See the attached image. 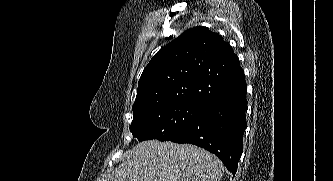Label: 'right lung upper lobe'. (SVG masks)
<instances>
[{"mask_svg": "<svg viewBox=\"0 0 333 181\" xmlns=\"http://www.w3.org/2000/svg\"><path fill=\"white\" fill-rule=\"evenodd\" d=\"M245 88L244 71L231 46L197 26L153 56L140 77L132 109L169 102L205 105Z\"/></svg>", "mask_w": 333, "mask_h": 181, "instance_id": "1", "label": "right lung upper lobe"}]
</instances>
